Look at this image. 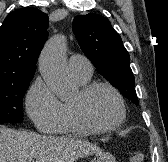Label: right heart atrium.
<instances>
[{
  "label": "right heart atrium",
  "instance_id": "d8ad5b80",
  "mask_svg": "<svg viewBox=\"0 0 168 162\" xmlns=\"http://www.w3.org/2000/svg\"><path fill=\"white\" fill-rule=\"evenodd\" d=\"M25 105L29 117L41 132H53L63 121V103L40 77L27 91Z\"/></svg>",
  "mask_w": 168,
  "mask_h": 162
}]
</instances>
